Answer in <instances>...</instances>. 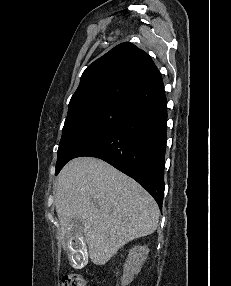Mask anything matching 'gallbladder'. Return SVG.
I'll return each instance as SVG.
<instances>
[{
  "label": "gallbladder",
  "instance_id": "obj_1",
  "mask_svg": "<svg viewBox=\"0 0 231 286\" xmlns=\"http://www.w3.org/2000/svg\"><path fill=\"white\" fill-rule=\"evenodd\" d=\"M84 228L83 222L78 221L77 217H74L70 223H67L68 238L65 241L68 253L67 258L75 269H81L88 263L89 256H87L86 241L81 234Z\"/></svg>",
  "mask_w": 231,
  "mask_h": 286
}]
</instances>
